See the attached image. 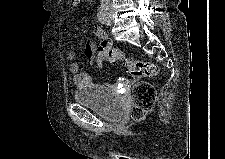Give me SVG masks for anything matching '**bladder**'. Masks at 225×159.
<instances>
[{
    "instance_id": "obj_1",
    "label": "bladder",
    "mask_w": 225,
    "mask_h": 159,
    "mask_svg": "<svg viewBox=\"0 0 225 159\" xmlns=\"http://www.w3.org/2000/svg\"><path fill=\"white\" fill-rule=\"evenodd\" d=\"M76 102L87 106L109 120H116L123 113L121 98L102 84H88L74 93Z\"/></svg>"
}]
</instances>
